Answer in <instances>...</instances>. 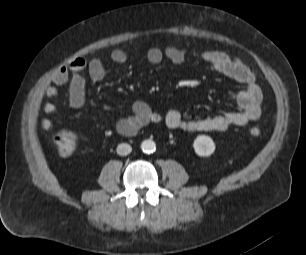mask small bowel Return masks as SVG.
Returning a JSON list of instances; mask_svg holds the SVG:
<instances>
[{"label":"small bowel","instance_id":"obj_1","mask_svg":"<svg viewBox=\"0 0 306 255\" xmlns=\"http://www.w3.org/2000/svg\"><path fill=\"white\" fill-rule=\"evenodd\" d=\"M146 56L147 60L154 65L160 64L165 59L174 65H181L186 61L184 50L174 45L167 46L165 49L152 47L148 49ZM110 57L118 65L128 61V55L122 49H114ZM197 57L211 69L245 85L242 90L232 95L233 101L239 107L238 111L205 118H186L176 109L172 108L161 114L153 111L145 102L136 101L132 106V115L121 119L117 123V130L121 134L131 135L146 124L163 122L171 129L189 132L225 131L232 126H245L260 118L263 99L261 87L256 82L254 72L239 57L219 50H205L198 53ZM84 71H87L93 81H101L107 73L103 61L99 58H74L52 76L51 84L45 89L46 96L54 98L58 95L59 87L67 86L70 107L81 108L85 103ZM55 110L56 106L53 103H47L44 106L46 114H52ZM41 126L44 130H49L52 127V121L44 118Z\"/></svg>","mask_w":306,"mask_h":255}]
</instances>
